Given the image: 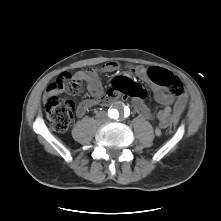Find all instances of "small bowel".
<instances>
[{"label": "small bowel", "mask_w": 221, "mask_h": 221, "mask_svg": "<svg viewBox=\"0 0 221 221\" xmlns=\"http://www.w3.org/2000/svg\"><path fill=\"white\" fill-rule=\"evenodd\" d=\"M119 69H120L119 63L108 62L100 68H95L88 71H78L74 74L73 76L74 82L76 83L85 82L87 89L91 94V98L85 99L78 104L76 110L78 116L85 115V113L90 108L98 104H104V105L110 104L121 93L125 96H128L126 93L123 92L124 87L129 83L133 82L128 75L115 77L111 83V88L107 91L104 90L103 85L100 81L99 77L100 74L116 72ZM151 69L138 66L134 69V72L138 77H140L142 80H144L151 86L156 101L164 106L161 110H159L156 113V118L159 121V125L155 127V133L156 135H160L164 128L173 126L178 122L181 115L186 109L187 96L184 93L180 96H176L166 92L163 86L156 84L152 80V77L150 75ZM132 101L135 109L142 117L144 118L152 117V114L148 106L145 104L143 98L133 97Z\"/></svg>", "instance_id": "obj_1"}]
</instances>
